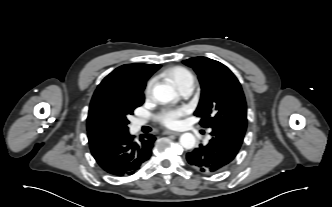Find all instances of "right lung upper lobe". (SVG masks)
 <instances>
[{
  "mask_svg": "<svg viewBox=\"0 0 332 207\" xmlns=\"http://www.w3.org/2000/svg\"><path fill=\"white\" fill-rule=\"evenodd\" d=\"M157 64H126L116 68L98 85L90 104L87 119L89 142L107 134L100 131L94 124L93 113L105 101L119 92L137 93L145 88L146 81L158 69Z\"/></svg>",
  "mask_w": 332,
  "mask_h": 207,
  "instance_id": "obj_1",
  "label": "right lung upper lobe"
}]
</instances>
